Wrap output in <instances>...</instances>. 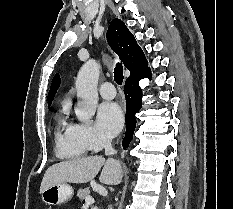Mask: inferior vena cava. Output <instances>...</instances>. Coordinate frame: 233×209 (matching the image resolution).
<instances>
[{"label": "inferior vena cava", "instance_id": "602c4592", "mask_svg": "<svg viewBox=\"0 0 233 209\" xmlns=\"http://www.w3.org/2000/svg\"><path fill=\"white\" fill-rule=\"evenodd\" d=\"M103 147L105 149V155L110 156L116 153L110 141H103Z\"/></svg>", "mask_w": 233, "mask_h": 209}]
</instances>
